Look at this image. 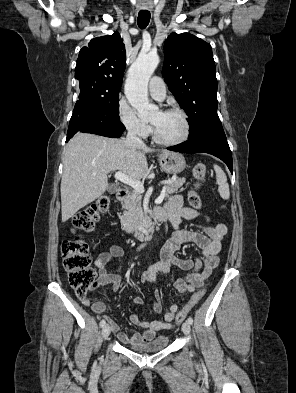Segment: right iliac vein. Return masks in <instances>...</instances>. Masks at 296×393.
Listing matches in <instances>:
<instances>
[{"label":"right iliac vein","mask_w":296,"mask_h":393,"mask_svg":"<svg viewBox=\"0 0 296 393\" xmlns=\"http://www.w3.org/2000/svg\"><path fill=\"white\" fill-rule=\"evenodd\" d=\"M110 332H111V330H110L109 325L108 324L104 325L102 328V337L104 339H107L108 336L110 335Z\"/></svg>","instance_id":"1"}]
</instances>
